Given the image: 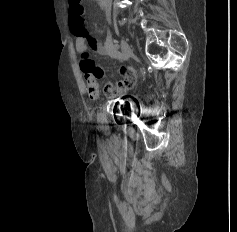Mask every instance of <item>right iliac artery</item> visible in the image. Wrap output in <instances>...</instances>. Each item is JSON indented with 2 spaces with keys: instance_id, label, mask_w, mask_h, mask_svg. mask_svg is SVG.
I'll list each match as a JSON object with an SVG mask.
<instances>
[{
  "instance_id": "obj_1",
  "label": "right iliac artery",
  "mask_w": 237,
  "mask_h": 232,
  "mask_svg": "<svg viewBox=\"0 0 237 232\" xmlns=\"http://www.w3.org/2000/svg\"><path fill=\"white\" fill-rule=\"evenodd\" d=\"M114 47H115L116 49H118V45H117V44H115Z\"/></svg>"
}]
</instances>
